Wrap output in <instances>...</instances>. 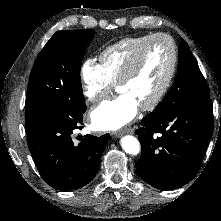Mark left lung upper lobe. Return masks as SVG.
<instances>
[{
  "label": "left lung upper lobe",
  "instance_id": "1",
  "mask_svg": "<svg viewBox=\"0 0 221 221\" xmlns=\"http://www.w3.org/2000/svg\"><path fill=\"white\" fill-rule=\"evenodd\" d=\"M179 66L174 85L153 112L170 106L178 99L194 100L208 97V85L193 57L187 43L182 40L179 46Z\"/></svg>",
  "mask_w": 221,
  "mask_h": 221
}]
</instances>
